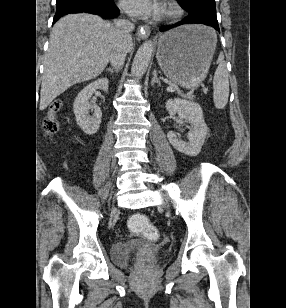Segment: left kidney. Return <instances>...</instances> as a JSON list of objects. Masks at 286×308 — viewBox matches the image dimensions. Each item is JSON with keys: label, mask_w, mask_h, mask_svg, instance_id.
Segmentation results:
<instances>
[{"label": "left kidney", "mask_w": 286, "mask_h": 308, "mask_svg": "<svg viewBox=\"0 0 286 308\" xmlns=\"http://www.w3.org/2000/svg\"><path fill=\"white\" fill-rule=\"evenodd\" d=\"M165 107L168 111L177 113L180 119H185L190 124L188 142L179 139L175 132H168L167 138L171 145L185 155H198L208 131L200 105L186 99L175 98L168 99Z\"/></svg>", "instance_id": "left-kidney-1"}]
</instances>
